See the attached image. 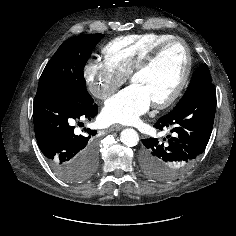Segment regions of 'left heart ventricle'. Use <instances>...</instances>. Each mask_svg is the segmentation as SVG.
Returning a JSON list of instances; mask_svg holds the SVG:
<instances>
[{"mask_svg":"<svg viewBox=\"0 0 236 236\" xmlns=\"http://www.w3.org/2000/svg\"><path fill=\"white\" fill-rule=\"evenodd\" d=\"M185 63L183 47L178 43L172 44L149 69L135 76L132 83L143 87L152 102L164 99L181 79Z\"/></svg>","mask_w":236,"mask_h":236,"instance_id":"b2bd125f","label":"left heart ventricle"}]
</instances>
